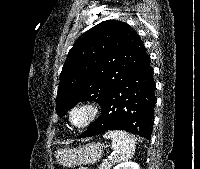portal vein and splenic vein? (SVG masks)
I'll use <instances>...</instances> for the list:
<instances>
[{
  "instance_id": "1",
  "label": "portal vein and splenic vein",
  "mask_w": 200,
  "mask_h": 169,
  "mask_svg": "<svg viewBox=\"0 0 200 169\" xmlns=\"http://www.w3.org/2000/svg\"><path fill=\"white\" fill-rule=\"evenodd\" d=\"M112 158H113V156H109V157H108V159H112Z\"/></svg>"
}]
</instances>
